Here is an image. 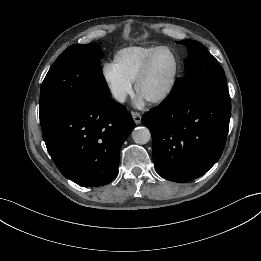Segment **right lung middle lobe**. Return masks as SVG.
<instances>
[{
  "instance_id": "1",
  "label": "right lung middle lobe",
  "mask_w": 261,
  "mask_h": 261,
  "mask_svg": "<svg viewBox=\"0 0 261 261\" xmlns=\"http://www.w3.org/2000/svg\"><path fill=\"white\" fill-rule=\"evenodd\" d=\"M102 57L100 47L89 43L71 45L57 58L41 86V124L76 104L111 100Z\"/></svg>"
}]
</instances>
